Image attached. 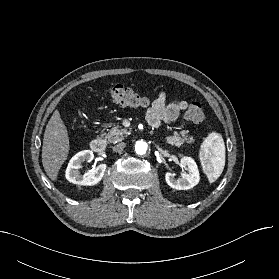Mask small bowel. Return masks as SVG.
<instances>
[{
    "label": "small bowel",
    "mask_w": 279,
    "mask_h": 279,
    "mask_svg": "<svg viewBox=\"0 0 279 279\" xmlns=\"http://www.w3.org/2000/svg\"><path fill=\"white\" fill-rule=\"evenodd\" d=\"M188 106L189 104L185 100H175L168 103L166 93L160 91L147 110V120L151 126L158 128L163 122L175 121Z\"/></svg>",
    "instance_id": "obj_1"
}]
</instances>
